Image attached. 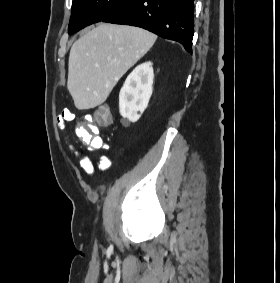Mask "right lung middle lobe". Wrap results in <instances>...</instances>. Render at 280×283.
I'll return each mask as SVG.
<instances>
[{
  "label": "right lung middle lobe",
  "mask_w": 280,
  "mask_h": 283,
  "mask_svg": "<svg viewBox=\"0 0 280 283\" xmlns=\"http://www.w3.org/2000/svg\"><path fill=\"white\" fill-rule=\"evenodd\" d=\"M132 0H73L68 32L100 22Z\"/></svg>",
  "instance_id": "1"
}]
</instances>
